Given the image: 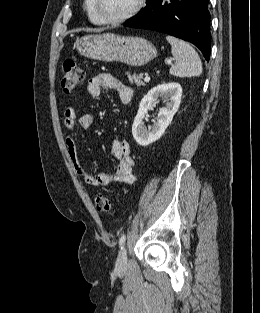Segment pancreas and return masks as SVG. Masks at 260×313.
<instances>
[{
  "label": "pancreas",
  "instance_id": "obj_1",
  "mask_svg": "<svg viewBox=\"0 0 260 313\" xmlns=\"http://www.w3.org/2000/svg\"><path fill=\"white\" fill-rule=\"evenodd\" d=\"M127 76H128V79H129V82L131 84H135L137 87H140V86H144L145 84L143 83L142 81V78H143V75L142 74H130V73H127Z\"/></svg>",
  "mask_w": 260,
  "mask_h": 313
}]
</instances>
